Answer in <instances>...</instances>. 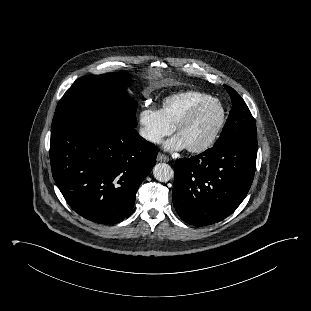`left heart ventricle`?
I'll list each match as a JSON object with an SVG mask.
<instances>
[{
  "label": "left heart ventricle",
  "mask_w": 311,
  "mask_h": 311,
  "mask_svg": "<svg viewBox=\"0 0 311 311\" xmlns=\"http://www.w3.org/2000/svg\"><path fill=\"white\" fill-rule=\"evenodd\" d=\"M219 113L216 104H209L178 133L186 147L198 146L207 140L218 121Z\"/></svg>",
  "instance_id": "obj_1"
}]
</instances>
